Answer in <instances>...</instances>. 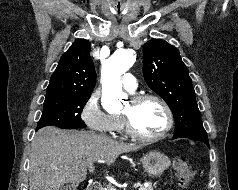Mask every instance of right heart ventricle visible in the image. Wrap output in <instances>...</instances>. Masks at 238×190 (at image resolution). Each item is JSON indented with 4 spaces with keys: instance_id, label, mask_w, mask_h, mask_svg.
Here are the masks:
<instances>
[{
    "instance_id": "e07e8e85",
    "label": "right heart ventricle",
    "mask_w": 238,
    "mask_h": 190,
    "mask_svg": "<svg viewBox=\"0 0 238 190\" xmlns=\"http://www.w3.org/2000/svg\"><path fill=\"white\" fill-rule=\"evenodd\" d=\"M113 121H114V131L123 132L124 125H123L121 117L118 115L113 116Z\"/></svg>"
}]
</instances>
